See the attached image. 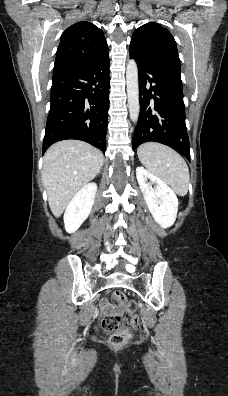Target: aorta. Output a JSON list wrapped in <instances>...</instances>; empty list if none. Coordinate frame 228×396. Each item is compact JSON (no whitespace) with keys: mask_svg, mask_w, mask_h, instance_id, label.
Segmentation results:
<instances>
[{"mask_svg":"<svg viewBox=\"0 0 228 396\" xmlns=\"http://www.w3.org/2000/svg\"><path fill=\"white\" fill-rule=\"evenodd\" d=\"M126 83L128 95V107L130 119L136 123L139 118V83H138V68L135 60L131 59L127 63L126 69Z\"/></svg>","mask_w":228,"mask_h":396,"instance_id":"1","label":"aorta"}]
</instances>
